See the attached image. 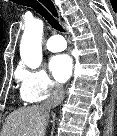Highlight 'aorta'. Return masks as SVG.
Here are the masks:
<instances>
[{
  "instance_id": "obj_1",
  "label": "aorta",
  "mask_w": 117,
  "mask_h": 136,
  "mask_svg": "<svg viewBox=\"0 0 117 136\" xmlns=\"http://www.w3.org/2000/svg\"><path fill=\"white\" fill-rule=\"evenodd\" d=\"M43 21L34 19L26 23L21 39L20 56L22 61L30 68H38L42 62V35Z\"/></svg>"
}]
</instances>
